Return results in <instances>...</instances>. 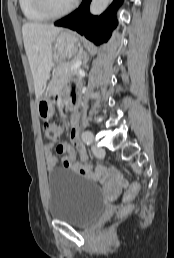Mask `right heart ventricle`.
Returning a JSON list of instances; mask_svg holds the SVG:
<instances>
[{"instance_id":"1","label":"right heart ventricle","mask_w":174,"mask_h":258,"mask_svg":"<svg viewBox=\"0 0 174 258\" xmlns=\"http://www.w3.org/2000/svg\"><path fill=\"white\" fill-rule=\"evenodd\" d=\"M24 17L30 22H44L48 19L36 6L35 0H19Z\"/></svg>"}]
</instances>
